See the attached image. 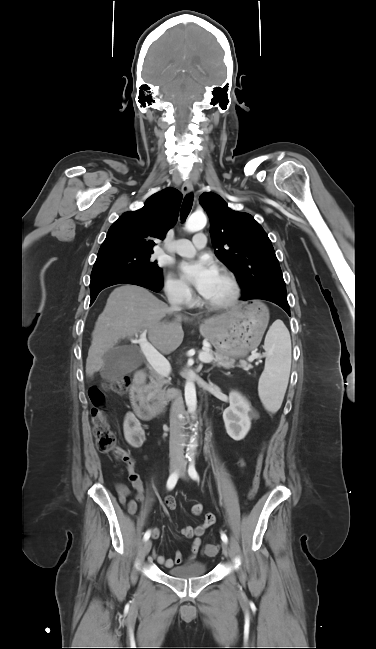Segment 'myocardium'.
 <instances>
[{
  "label": "myocardium",
  "mask_w": 376,
  "mask_h": 649,
  "mask_svg": "<svg viewBox=\"0 0 376 649\" xmlns=\"http://www.w3.org/2000/svg\"><path fill=\"white\" fill-rule=\"evenodd\" d=\"M218 271L228 279L231 286V294L226 300L222 302H210L206 300L204 297L202 298V304L208 309L215 310V311L226 310L231 308L238 302L241 294L240 285L235 275L225 267H220Z\"/></svg>",
  "instance_id": "f54148a6"
}]
</instances>
